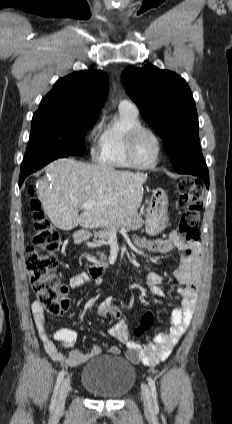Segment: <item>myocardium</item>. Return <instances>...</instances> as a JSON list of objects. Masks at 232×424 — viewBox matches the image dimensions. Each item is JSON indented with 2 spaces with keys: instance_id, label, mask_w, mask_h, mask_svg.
<instances>
[{
  "instance_id": "f54148a6",
  "label": "myocardium",
  "mask_w": 232,
  "mask_h": 424,
  "mask_svg": "<svg viewBox=\"0 0 232 424\" xmlns=\"http://www.w3.org/2000/svg\"><path fill=\"white\" fill-rule=\"evenodd\" d=\"M143 133H149L150 135H152L154 137V139L156 140V143H157L156 158L149 165L139 164L134 157V146H135L136 140ZM161 153H162V141H161L160 136L153 129L141 125V126L134 128L128 134L127 143H126V155H127V158L129 160L130 164L134 168L141 169V170H148V169H152V168L156 167L158 165L159 161H160Z\"/></svg>"
}]
</instances>
